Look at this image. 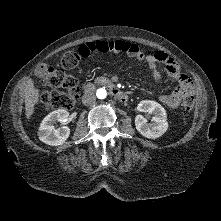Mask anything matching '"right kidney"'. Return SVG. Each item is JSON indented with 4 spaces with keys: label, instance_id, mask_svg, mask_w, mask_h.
Returning <instances> with one entry per match:
<instances>
[{
    "label": "right kidney",
    "instance_id": "obj_1",
    "mask_svg": "<svg viewBox=\"0 0 221 221\" xmlns=\"http://www.w3.org/2000/svg\"><path fill=\"white\" fill-rule=\"evenodd\" d=\"M68 117L69 112L64 109L49 113L39 127L38 136L40 141L51 146L63 144L70 135V129L67 126L55 129L53 124L55 122L65 123Z\"/></svg>",
    "mask_w": 221,
    "mask_h": 221
}]
</instances>
